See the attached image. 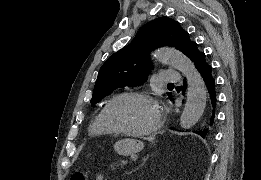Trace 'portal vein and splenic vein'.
<instances>
[{
  "mask_svg": "<svg viewBox=\"0 0 261 180\" xmlns=\"http://www.w3.org/2000/svg\"><path fill=\"white\" fill-rule=\"evenodd\" d=\"M127 164H128V161H126V158H121V161H119V166H121V167H126Z\"/></svg>",
  "mask_w": 261,
  "mask_h": 180,
  "instance_id": "obj_1",
  "label": "portal vein and splenic vein"
}]
</instances>
